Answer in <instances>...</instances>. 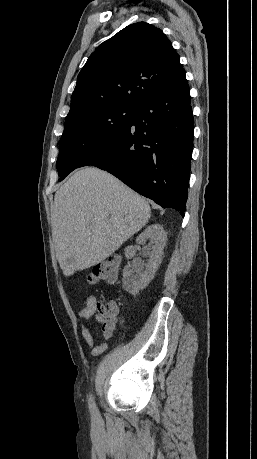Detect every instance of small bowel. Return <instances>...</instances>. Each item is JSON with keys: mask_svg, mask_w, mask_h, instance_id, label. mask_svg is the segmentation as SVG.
<instances>
[{"mask_svg": "<svg viewBox=\"0 0 257 459\" xmlns=\"http://www.w3.org/2000/svg\"><path fill=\"white\" fill-rule=\"evenodd\" d=\"M87 304H94L96 302V297L90 295L87 300ZM109 306L111 308V313L107 318L96 316V321L101 324L103 342L97 346H94V339L90 330L85 326L81 325V336L86 342L87 346L91 348V356L97 357L101 355L108 347L107 340L112 336L113 330L117 323V315L119 313V306L115 301H110ZM95 311L93 309H80L78 311V316L80 319L85 321H90L94 316Z\"/></svg>", "mask_w": 257, "mask_h": 459, "instance_id": "1", "label": "small bowel"}]
</instances>
